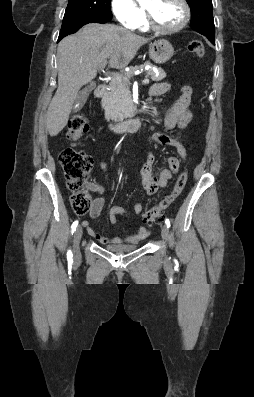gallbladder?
<instances>
[{
  "label": "gallbladder",
  "instance_id": "1",
  "mask_svg": "<svg viewBox=\"0 0 254 397\" xmlns=\"http://www.w3.org/2000/svg\"><path fill=\"white\" fill-rule=\"evenodd\" d=\"M96 84L95 83H90L87 87L82 89L76 96L74 103H73V111L77 112L79 111L85 104L90 92L95 89Z\"/></svg>",
  "mask_w": 254,
  "mask_h": 397
}]
</instances>
